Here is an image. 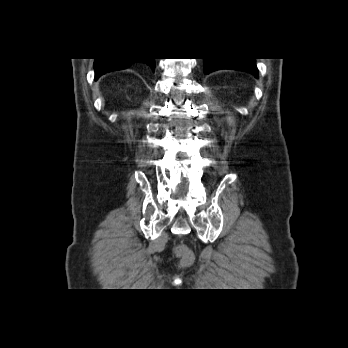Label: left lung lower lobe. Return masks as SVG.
I'll use <instances>...</instances> for the list:
<instances>
[{
  "mask_svg": "<svg viewBox=\"0 0 348 348\" xmlns=\"http://www.w3.org/2000/svg\"><path fill=\"white\" fill-rule=\"evenodd\" d=\"M219 69L246 71L258 77V69L253 58H204L205 74Z\"/></svg>",
  "mask_w": 348,
  "mask_h": 348,
  "instance_id": "left-lung-lower-lobe-1",
  "label": "left lung lower lobe"
}]
</instances>
